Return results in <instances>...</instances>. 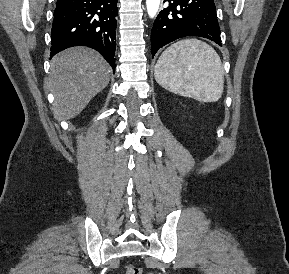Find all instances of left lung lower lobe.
<instances>
[{
  "mask_svg": "<svg viewBox=\"0 0 289 274\" xmlns=\"http://www.w3.org/2000/svg\"><path fill=\"white\" fill-rule=\"evenodd\" d=\"M168 2L151 32L152 56L164 45L186 36L210 39L221 46L214 0H164Z\"/></svg>",
  "mask_w": 289,
  "mask_h": 274,
  "instance_id": "obj_1",
  "label": "left lung lower lobe"
}]
</instances>
